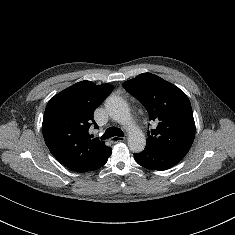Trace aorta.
<instances>
[{
  "instance_id": "obj_1",
  "label": "aorta",
  "mask_w": 235,
  "mask_h": 235,
  "mask_svg": "<svg viewBox=\"0 0 235 235\" xmlns=\"http://www.w3.org/2000/svg\"><path fill=\"white\" fill-rule=\"evenodd\" d=\"M105 109L113 120L122 124L127 130L129 149L134 153L142 152L146 145L145 135L131 122L126 102L121 97L112 95L106 99Z\"/></svg>"
}]
</instances>
